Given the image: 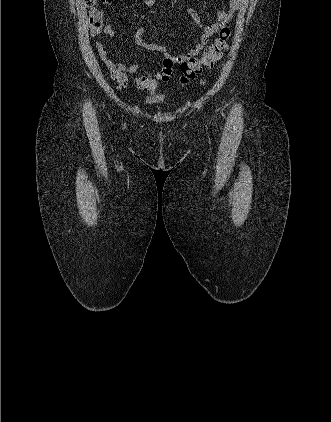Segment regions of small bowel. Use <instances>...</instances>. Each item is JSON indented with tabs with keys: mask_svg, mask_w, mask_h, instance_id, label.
<instances>
[{
	"mask_svg": "<svg viewBox=\"0 0 331 422\" xmlns=\"http://www.w3.org/2000/svg\"><path fill=\"white\" fill-rule=\"evenodd\" d=\"M143 3L149 7L154 8L155 0H142ZM243 0H229L228 6L224 9H221L217 13L216 20L208 26H202L201 18L196 8L193 5H190L186 8V12L191 16L194 23L200 27L201 38L200 40L190 49L182 51L177 54H171L167 48L163 45L147 43L143 40V35L146 31L145 27H140L135 33V41L137 45L150 50L158 51L163 55L161 62V67L156 69L153 74H150L156 81H168L173 68L177 64H182L183 62L196 59L197 56L203 51L204 47L208 43V40L216 34L220 29L224 28L228 22L233 18V16L238 12L242 6ZM103 14L101 11L96 10L94 15L91 17L90 26H91V35L93 37H98L100 34H105L109 37H113L115 34L114 27L111 24H103L102 22ZM161 31L171 36V34L164 29ZM96 48L99 52V55L102 61L105 63L109 69L113 79L122 87L127 86L128 84V74L134 73L138 66L136 63H125L123 61L122 55L117 59H113L104 43L98 41L96 43ZM147 85V78L142 76L137 82V87L139 89H145Z\"/></svg>",
	"mask_w": 331,
	"mask_h": 422,
	"instance_id": "obj_1",
	"label": "small bowel"
}]
</instances>
